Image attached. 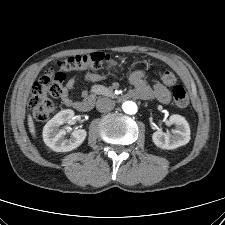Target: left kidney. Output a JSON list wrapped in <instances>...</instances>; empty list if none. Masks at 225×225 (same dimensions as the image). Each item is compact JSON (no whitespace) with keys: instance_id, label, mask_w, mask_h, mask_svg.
Masks as SVG:
<instances>
[{"instance_id":"5707ae66","label":"left kidney","mask_w":225,"mask_h":225,"mask_svg":"<svg viewBox=\"0 0 225 225\" xmlns=\"http://www.w3.org/2000/svg\"><path fill=\"white\" fill-rule=\"evenodd\" d=\"M170 124L176 126L172 130V134L156 131L152 135L154 144L162 149H175L186 145L190 141V127L184 117L180 115H172L169 118Z\"/></svg>"}]
</instances>
